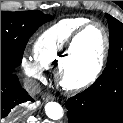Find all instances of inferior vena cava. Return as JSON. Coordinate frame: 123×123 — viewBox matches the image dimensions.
I'll list each match as a JSON object with an SVG mask.
<instances>
[{
	"label": "inferior vena cava",
	"instance_id": "inferior-vena-cava-1",
	"mask_svg": "<svg viewBox=\"0 0 123 123\" xmlns=\"http://www.w3.org/2000/svg\"><path fill=\"white\" fill-rule=\"evenodd\" d=\"M24 88L30 95H35L40 91V84L35 79L25 78Z\"/></svg>",
	"mask_w": 123,
	"mask_h": 123
}]
</instances>
